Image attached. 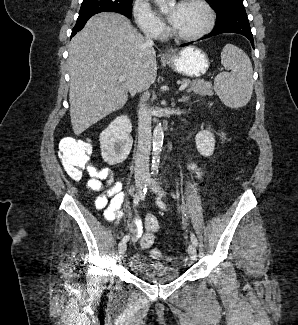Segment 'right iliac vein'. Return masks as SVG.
Returning a JSON list of instances; mask_svg holds the SVG:
<instances>
[{"mask_svg":"<svg viewBox=\"0 0 298 325\" xmlns=\"http://www.w3.org/2000/svg\"><path fill=\"white\" fill-rule=\"evenodd\" d=\"M144 183H145V177H138L136 179V191L138 194H140L142 192ZM126 249H127L126 242L121 240V242L119 243V246H118V253H119L120 258L123 257V255L126 252Z\"/></svg>","mask_w":298,"mask_h":325,"instance_id":"obj_1","label":"right iliac vein"}]
</instances>
